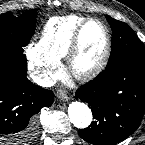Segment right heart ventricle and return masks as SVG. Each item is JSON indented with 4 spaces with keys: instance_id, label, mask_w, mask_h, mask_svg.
Instances as JSON below:
<instances>
[{
    "instance_id": "right-heart-ventricle-1",
    "label": "right heart ventricle",
    "mask_w": 145,
    "mask_h": 145,
    "mask_svg": "<svg viewBox=\"0 0 145 145\" xmlns=\"http://www.w3.org/2000/svg\"><path fill=\"white\" fill-rule=\"evenodd\" d=\"M86 19L88 18L80 15L51 18L42 29L36 44L38 50L59 61L65 58L76 29Z\"/></svg>"
}]
</instances>
